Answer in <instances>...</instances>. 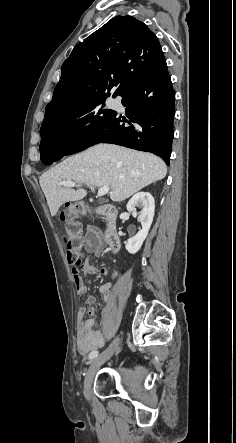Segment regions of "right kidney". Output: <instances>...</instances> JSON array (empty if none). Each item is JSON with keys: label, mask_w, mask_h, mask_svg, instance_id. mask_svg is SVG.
Here are the masks:
<instances>
[{"label": "right kidney", "mask_w": 236, "mask_h": 443, "mask_svg": "<svg viewBox=\"0 0 236 443\" xmlns=\"http://www.w3.org/2000/svg\"><path fill=\"white\" fill-rule=\"evenodd\" d=\"M136 208H139L140 211L137 212ZM127 211L130 212L133 217H137L138 215V221L142 225V229L134 237L128 239L125 245L129 253L135 254L141 248L153 222L155 211L153 196L148 192L135 194L127 203Z\"/></svg>", "instance_id": "ca27d5eb"}]
</instances>
